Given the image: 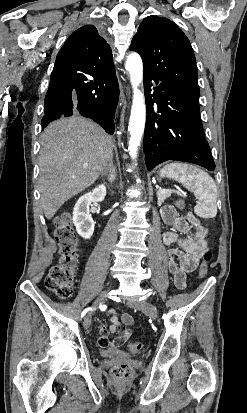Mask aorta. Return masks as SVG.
<instances>
[{"instance_id": "1", "label": "aorta", "mask_w": 247, "mask_h": 413, "mask_svg": "<svg viewBox=\"0 0 247 413\" xmlns=\"http://www.w3.org/2000/svg\"><path fill=\"white\" fill-rule=\"evenodd\" d=\"M125 69L130 75V81L133 88V101L128 126V131L130 133L128 149L130 156L135 159L144 133L146 120L144 94L139 89L143 80V63L141 57L135 52L131 53L126 59Z\"/></svg>"}]
</instances>
